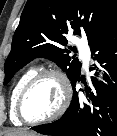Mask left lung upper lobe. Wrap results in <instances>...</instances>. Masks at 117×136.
<instances>
[{"label": "left lung upper lobe", "instance_id": "obj_1", "mask_svg": "<svg viewBox=\"0 0 117 136\" xmlns=\"http://www.w3.org/2000/svg\"><path fill=\"white\" fill-rule=\"evenodd\" d=\"M116 20L117 0H28L4 64V85L38 56L54 61L74 82L81 63L69 56L66 34L86 36L91 46Z\"/></svg>", "mask_w": 117, "mask_h": 136}]
</instances>
